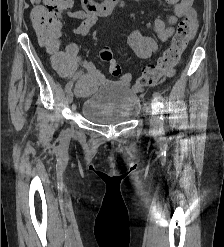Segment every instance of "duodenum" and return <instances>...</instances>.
<instances>
[{"instance_id": "obj_1", "label": "duodenum", "mask_w": 224, "mask_h": 247, "mask_svg": "<svg viewBox=\"0 0 224 247\" xmlns=\"http://www.w3.org/2000/svg\"><path fill=\"white\" fill-rule=\"evenodd\" d=\"M83 9L92 12L98 16H106L110 14L119 4L120 0H81Z\"/></svg>"}]
</instances>
